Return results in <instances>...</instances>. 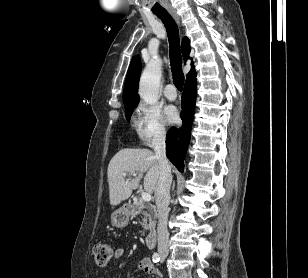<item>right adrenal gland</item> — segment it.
I'll list each match as a JSON object with an SVG mask.
<instances>
[{"mask_svg":"<svg viewBox=\"0 0 308 278\" xmlns=\"http://www.w3.org/2000/svg\"><path fill=\"white\" fill-rule=\"evenodd\" d=\"M174 187H175V183H173V189H174Z\"/></svg>","mask_w":308,"mask_h":278,"instance_id":"2a0ac1e0","label":"right adrenal gland"}]
</instances>
